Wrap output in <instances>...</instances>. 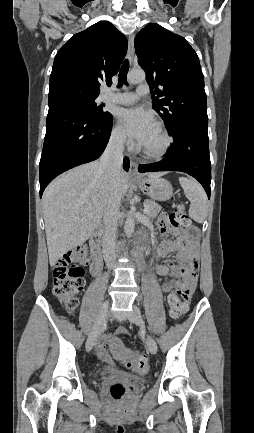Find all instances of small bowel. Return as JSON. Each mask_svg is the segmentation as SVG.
<instances>
[{
	"label": "small bowel",
	"mask_w": 254,
	"mask_h": 433,
	"mask_svg": "<svg viewBox=\"0 0 254 433\" xmlns=\"http://www.w3.org/2000/svg\"><path fill=\"white\" fill-rule=\"evenodd\" d=\"M159 231L163 235V238L157 248V254L159 258L164 260V263L157 265L155 271L158 275L167 278L162 289L165 293L175 290V294L182 301L187 302L197 284V235L181 234L179 230H170L167 223L162 219L159 222ZM169 231L178 235V238L176 240L166 239L165 235ZM174 252H177L178 258V264L176 265L167 261L170 254ZM179 277L183 279L180 280ZM112 340V335H104L97 346L98 355L108 364H113V360L106 350V344L112 342Z\"/></svg>",
	"instance_id": "c3829d8e"
}]
</instances>
